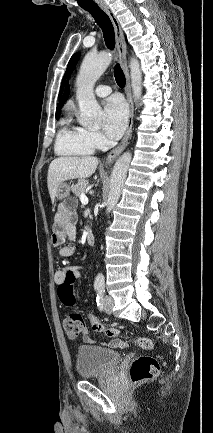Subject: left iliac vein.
I'll use <instances>...</instances> for the list:
<instances>
[{"label": "left iliac vein", "mask_w": 213, "mask_h": 433, "mask_svg": "<svg viewBox=\"0 0 213 433\" xmlns=\"http://www.w3.org/2000/svg\"><path fill=\"white\" fill-rule=\"evenodd\" d=\"M105 312L111 314L113 311L114 300L111 296H106L104 301Z\"/></svg>", "instance_id": "obj_1"}]
</instances>
